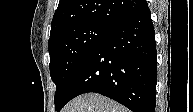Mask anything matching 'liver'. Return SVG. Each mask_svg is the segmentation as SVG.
Listing matches in <instances>:
<instances>
[{
	"instance_id": "liver-1",
	"label": "liver",
	"mask_w": 193,
	"mask_h": 112,
	"mask_svg": "<svg viewBox=\"0 0 193 112\" xmlns=\"http://www.w3.org/2000/svg\"><path fill=\"white\" fill-rule=\"evenodd\" d=\"M62 112H128V109L97 93H87L71 100Z\"/></svg>"
}]
</instances>
